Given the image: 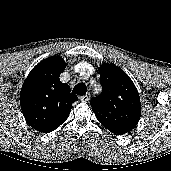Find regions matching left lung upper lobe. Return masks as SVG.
<instances>
[{
    "mask_svg": "<svg viewBox=\"0 0 171 171\" xmlns=\"http://www.w3.org/2000/svg\"><path fill=\"white\" fill-rule=\"evenodd\" d=\"M99 73L102 92L91 99L95 116L113 134L130 133L141 116L140 98L134 83L113 64L104 63Z\"/></svg>",
    "mask_w": 171,
    "mask_h": 171,
    "instance_id": "obj_1",
    "label": "left lung upper lobe"
}]
</instances>
